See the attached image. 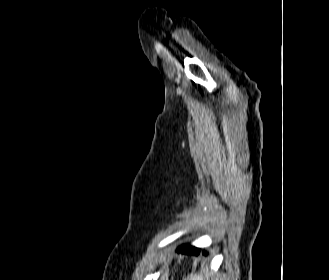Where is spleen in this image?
<instances>
[{"label": "spleen", "instance_id": "1", "mask_svg": "<svg viewBox=\"0 0 329 280\" xmlns=\"http://www.w3.org/2000/svg\"><path fill=\"white\" fill-rule=\"evenodd\" d=\"M183 280H204V271H201L200 273L190 274L187 278H184Z\"/></svg>", "mask_w": 329, "mask_h": 280}]
</instances>
